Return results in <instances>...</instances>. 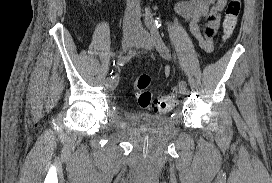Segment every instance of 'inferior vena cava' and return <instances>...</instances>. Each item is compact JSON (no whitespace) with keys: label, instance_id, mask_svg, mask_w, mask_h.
I'll use <instances>...</instances> for the list:
<instances>
[{"label":"inferior vena cava","instance_id":"inferior-vena-cava-1","mask_svg":"<svg viewBox=\"0 0 272 183\" xmlns=\"http://www.w3.org/2000/svg\"><path fill=\"white\" fill-rule=\"evenodd\" d=\"M140 10L139 0H127V8L123 20L124 29H135L138 26L141 16Z\"/></svg>","mask_w":272,"mask_h":183}]
</instances>
